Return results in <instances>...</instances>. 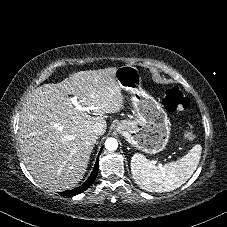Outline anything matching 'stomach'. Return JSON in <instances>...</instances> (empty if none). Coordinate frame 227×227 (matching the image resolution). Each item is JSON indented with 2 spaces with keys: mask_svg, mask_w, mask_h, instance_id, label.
Masks as SVG:
<instances>
[{
  "mask_svg": "<svg viewBox=\"0 0 227 227\" xmlns=\"http://www.w3.org/2000/svg\"><path fill=\"white\" fill-rule=\"evenodd\" d=\"M114 76L132 96L136 117L122 120L116 130L136 149L147 154L163 151L170 136V121L161 104L142 88L140 70L132 65L118 67Z\"/></svg>",
  "mask_w": 227,
  "mask_h": 227,
  "instance_id": "stomach-1",
  "label": "stomach"
}]
</instances>
